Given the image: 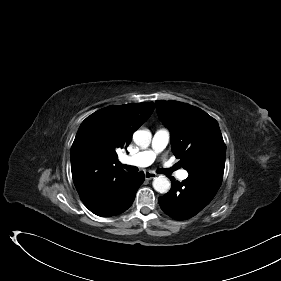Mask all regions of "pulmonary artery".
<instances>
[{
	"instance_id": "1",
	"label": "pulmonary artery",
	"mask_w": 281,
	"mask_h": 281,
	"mask_svg": "<svg viewBox=\"0 0 281 281\" xmlns=\"http://www.w3.org/2000/svg\"><path fill=\"white\" fill-rule=\"evenodd\" d=\"M170 141V132L165 128H159L155 131L150 148L140 151L131 156H124L122 161L127 164L145 167L153 163L156 156L162 152ZM177 177L184 180L188 177V172L180 170Z\"/></svg>"
}]
</instances>
